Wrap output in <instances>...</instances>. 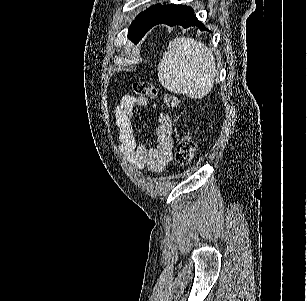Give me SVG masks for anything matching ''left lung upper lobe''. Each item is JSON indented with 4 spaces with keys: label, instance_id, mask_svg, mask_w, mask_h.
<instances>
[{
    "label": "left lung upper lobe",
    "instance_id": "obj_1",
    "mask_svg": "<svg viewBox=\"0 0 307 301\" xmlns=\"http://www.w3.org/2000/svg\"><path fill=\"white\" fill-rule=\"evenodd\" d=\"M173 6L174 4H156L148 8L146 11L141 12L129 27L128 38L134 44H137L146 32L149 31L153 22Z\"/></svg>",
    "mask_w": 307,
    "mask_h": 301
}]
</instances>
